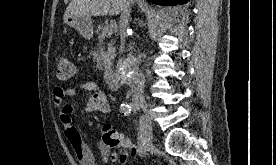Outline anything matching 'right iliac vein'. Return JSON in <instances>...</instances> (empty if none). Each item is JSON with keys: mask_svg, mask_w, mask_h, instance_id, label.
Segmentation results:
<instances>
[{"mask_svg": "<svg viewBox=\"0 0 276 165\" xmlns=\"http://www.w3.org/2000/svg\"><path fill=\"white\" fill-rule=\"evenodd\" d=\"M134 108H136L137 110H142L144 112V114L142 115V118L144 119L146 131H147L146 150H151L153 148V145H152L153 124L149 114L147 113V104L144 101H136L134 103Z\"/></svg>", "mask_w": 276, "mask_h": 165, "instance_id": "obj_1", "label": "right iliac vein"}]
</instances>
